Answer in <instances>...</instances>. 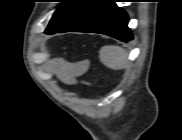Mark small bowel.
Instances as JSON below:
<instances>
[{
	"label": "small bowel",
	"mask_w": 182,
	"mask_h": 140,
	"mask_svg": "<svg viewBox=\"0 0 182 140\" xmlns=\"http://www.w3.org/2000/svg\"><path fill=\"white\" fill-rule=\"evenodd\" d=\"M87 66V63L74 66L73 68L61 73L59 78L66 84H73L75 83L76 79L86 71Z\"/></svg>",
	"instance_id": "small-bowel-1"
}]
</instances>
